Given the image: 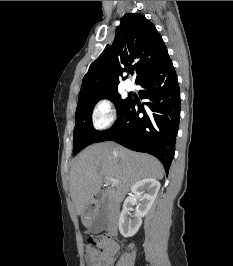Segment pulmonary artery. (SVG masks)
<instances>
[{"label": "pulmonary artery", "mask_w": 233, "mask_h": 266, "mask_svg": "<svg viewBox=\"0 0 233 266\" xmlns=\"http://www.w3.org/2000/svg\"><path fill=\"white\" fill-rule=\"evenodd\" d=\"M126 90L131 91L134 89V84L130 80H126L124 83Z\"/></svg>", "instance_id": "pulmonary-artery-1"}]
</instances>
